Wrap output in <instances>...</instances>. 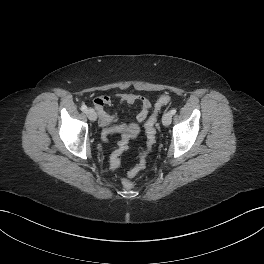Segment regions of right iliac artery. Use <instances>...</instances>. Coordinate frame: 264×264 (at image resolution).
Listing matches in <instances>:
<instances>
[{
  "mask_svg": "<svg viewBox=\"0 0 264 264\" xmlns=\"http://www.w3.org/2000/svg\"><path fill=\"white\" fill-rule=\"evenodd\" d=\"M81 110H82V111H86V110H87V106H86V105H82V106H81Z\"/></svg>",
  "mask_w": 264,
  "mask_h": 264,
  "instance_id": "right-iliac-artery-1",
  "label": "right iliac artery"
}]
</instances>
